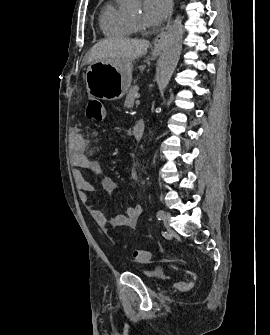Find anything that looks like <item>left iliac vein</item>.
<instances>
[{"mask_svg":"<svg viewBox=\"0 0 270 335\" xmlns=\"http://www.w3.org/2000/svg\"><path fill=\"white\" fill-rule=\"evenodd\" d=\"M170 218H171L170 213H168V212L164 213V215L162 217V220H163V222H164L165 225L168 224V222L170 221Z\"/></svg>","mask_w":270,"mask_h":335,"instance_id":"obj_1","label":"left iliac vein"}]
</instances>
